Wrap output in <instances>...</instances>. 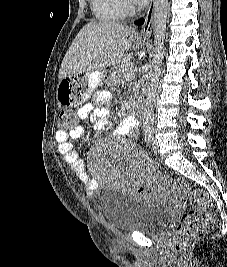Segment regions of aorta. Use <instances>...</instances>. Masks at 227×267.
<instances>
[{
  "mask_svg": "<svg viewBox=\"0 0 227 267\" xmlns=\"http://www.w3.org/2000/svg\"><path fill=\"white\" fill-rule=\"evenodd\" d=\"M169 0H154L153 30H154V59L149 72V85L146 94L143 113L144 126L151 127L154 120V103L156 100L161 65L164 58V41Z\"/></svg>",
  "mask_w": 227,
  "mask_h": 267,
  "instance_id": "obj_1",
  "label": "aorta"
}]
</instances>
